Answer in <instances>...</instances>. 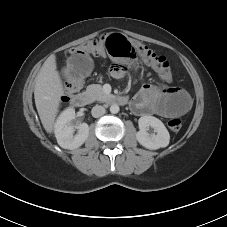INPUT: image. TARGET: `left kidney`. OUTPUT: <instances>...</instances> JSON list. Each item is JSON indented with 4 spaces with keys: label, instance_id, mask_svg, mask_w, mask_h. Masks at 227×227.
<instances>
[{
    "label": "left kidney",
    "instance_id": "obj_1",
    "mask_svg": "<svg viewBox=\"0 0 227 227\" xmlns=\"http://www.w3.org/2000/svg\"><path fill=\"white\" fill-rule=\"evenodd\" d=\"M139 131L136 133L137 141L145 148L156 150L167 147L170 141V135L165 125L153 116H142L138 120ZM154 129L155 134H149L148 128Z\"/></svg>",
    "mask_w": 227,
    "mask_h": 227
}]
</instances>
